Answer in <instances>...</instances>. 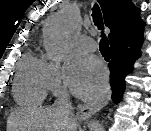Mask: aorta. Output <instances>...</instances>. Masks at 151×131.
I'll return each instance as SVG.
<instances>
[{
    "mask_svg": "<svg viewBox=\"0 0 151 131\" xmlns=\"http://www.w3.org/2000/svg\"><path fill=\"white\" fill-rule=\"evenodd\" d=\"M76 26V13L72 8L46 22L44 38L52 58H59L63 54L68 36Z\"/></svg>",
    "mask_w": 151,
    "mask_h": 131,
    "instance_id": "aorta-1",
    "label": "aorta"
}]
</instances>
